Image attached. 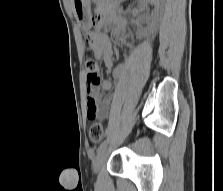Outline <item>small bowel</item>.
I'll list each match as a JSON object with an SVG mask.
<instances>
[{
    "instance_id": "1",
    "label": "small bowel",
    "mask_w": 223,
    "mask_h": 191,
    "mask_svg": "<svg viewBox=\"0 0 223 191\" xmlns=\"http://www.w3.org/2000/svg\"><path fill=\"white\" fill-rule=\"evenodd\" d=\"M107 8L103 4H98L96 14L98 18L95 20L93 28L87 32V41L89 47L94 52L97 59H103L107 69L112 67V43L109 35L105 30L110 26H114V37L116 41L125 46H129L127 40V22L125 19H112L102 15H106ZM122 65L117 66L113 70V76L118 79ZM103 93L111 90L112 84L109 80L104 79L99 84ZM87 117L89 119H105L110 111L111 99L103 96L98 91V87L93 84L87 86Z\"/></svg>"
}]
</instances>
